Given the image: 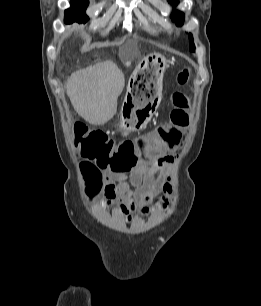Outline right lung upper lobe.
<instances>
[{
  "instance_id": "right-lung-upper-lobe-1",
  "label": "right lung upper lobe",
  "mask_w": 261,
  "mask_h": 306,
  "mask_svg": "<svg viewBox=\"0 0 261 306\" xmlns=\"http://www.w3.org/2000/svg\"><path fill=\"white\" fill-rule=\"evenodd\" d=\"M72 2H75V1H77V0H71Z\"/></svg>"
}]
</instances>
